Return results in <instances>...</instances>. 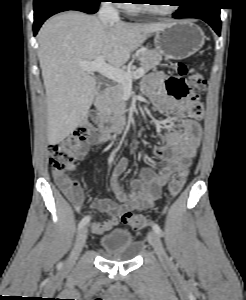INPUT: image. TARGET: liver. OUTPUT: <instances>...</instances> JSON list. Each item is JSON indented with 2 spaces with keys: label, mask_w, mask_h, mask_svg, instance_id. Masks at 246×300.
I'll use <instances>...</instances> for the list:
<instances>
[{
  "label": "liver",
  "mask_w": 246,
  "mask_h": 300,
  "mask_svg": "<svg viewBox=\"0 0 246 300\" xmlns=\"http://www.w3.org/2000/svg\"><path fill=\"white\" fill-rule=\"evenodd\" d=\"M166 23L104 25L96 16L69 11L49 19L38 33V58L46 90L48 142L55 145L83 121L95 96L96 82L80 62L104 57L119 68L131 53Z\"/></svg>",
  "instance_id": "liver-1"
}]
</instances>
